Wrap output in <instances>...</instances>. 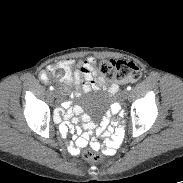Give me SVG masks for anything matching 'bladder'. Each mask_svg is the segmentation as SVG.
Returning a JSON list of instances; mask_svg holds the SVG:
<instances>
[{
	"label": "bladder",
	"instance_id": "1",
	"mask_svg": "<svg viewBox=\"0 0 183 183\" xmlns=\"http://www.w3.org/2000/svg\"><path fill=\"white\" fill-rule=\"evenodd\" d=\"M110 101L111 99L108 94L96 91L86 97L85 105L91 114L97 115L107 110Z\"/></svg>",
	"mask_w": 183,
	"mask_h": 183
}]
</instances>
